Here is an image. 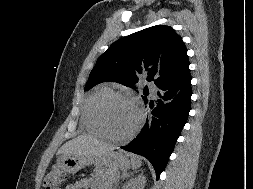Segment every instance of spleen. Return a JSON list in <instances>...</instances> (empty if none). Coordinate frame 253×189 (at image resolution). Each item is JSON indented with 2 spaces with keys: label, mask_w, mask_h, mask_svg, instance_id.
<instances>
[{
  "label": "spleen",
  "mask_w": 253,
  "mask_h": 189,
  "mask_svg": "<svg viewBox=\"0 0 253 189\" xmlns=\"http://www.w3.org/2000/svg\"><path fill=\"white\" fill-rule=\"evenodd\" d=\"M131 163H132V168L136 169L139 168L141 166V159L138 156H133L131 159Z\"/></svg>",
  "instance_id": "obj_1"
}]
</instances>
